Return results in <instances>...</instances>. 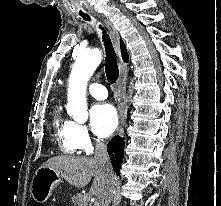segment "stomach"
<instances>
[{
	"label": "stomach",
	"instance_id": "0dacf381",
	"mask_svg": "<svg viewBox=\"0 0 221 206\" xmlns=\"http://www.w3.org/2000/svg\"><path fill=\"white\" fill-rule=\"evenodd\" d=\"M61 182V175L54 169L45 166L40 167L32 179V197L38 203H43Z\"/></svg>",
	"mask_w": 221,
	"mask_h": 206
}]
</instances>
